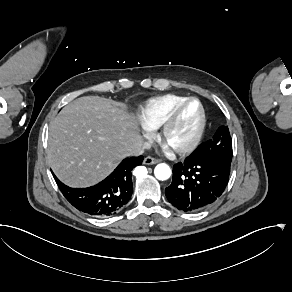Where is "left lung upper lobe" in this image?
<instances>
[{"label": "left lung upper lobe", "mask_w": 292, "mask_h": 292, "mask_svg": "<svg viewBox=\"0 0 292 292\" xmlns=\"http://www.w3.org/2000/svg\"><path fill=\"white\" fill-rule=\"evenodd\" d=\"M195 154L201 158L232 159V139L228 127H219L212 139L198 146Z\"/></svg>", "instance_id": "5c2ea615"}]
</instances>
